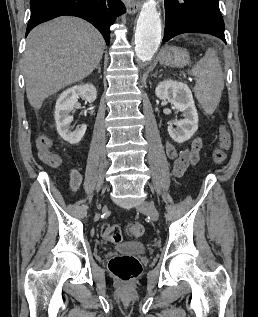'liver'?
Returning <instances> with one entry per match:
<instances>
[{"instance_id":"obj_1","label":"liver","mask_w":258,"mask_h":317,"mask_svg":"<svg viewBox=\"0 0 258 317\" xmlns=\"http://www.w3.org/2000/svg\"><path fill=\"white\" fill-rule=\"evenodd\" d=\"M105 40L90 22L60 16L35 26L27 36L23 70L33 108L60 88L88 76L99 64Z\"/></svg>"}]
</instances>
